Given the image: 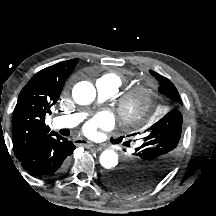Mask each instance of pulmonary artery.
Returning <instances> with one entry per match:
<instances>
[{
	"label": "pulmonary artery",
	"instance_id": "obj_1",
	"mask_svg": "<svg viewBox=\"0 0 216 216\" xmlns=\"http://www.w3.org/2000/svg\"><path fill=\"white\" fill-rule=\"evenodd\" d=\"M96 89L100 100L110 98L117 90L110 80L104 78H100L96 81ZM82 119L83 114L81 113L58 116L53 119V125L56 128H72L78 125Z\"/></svg>",
	"mask_w": 216,
	"mask_h": 216
}]
</instances>
